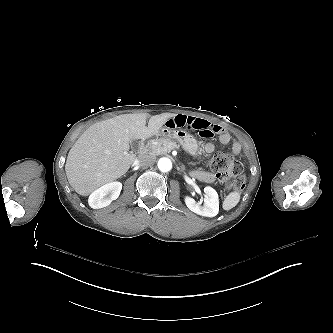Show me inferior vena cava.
Wrapping results in <instances>:
<instances>
[{"mask_svg": "<svg viewBox=\"0 0 333 333\" xmlns=\"http://www.w3.org/2000/svg\"><path fill=\"white\" fill-rule=\"evenodd\" d=\"M154 158L150 157V156H142L137 160V165H141V166H150L154 163Z\"/></svg>", "mask_w": 333, "mask_h": 333, "instance_id": "inferior-vena-cava-1", "label": "inferior vena cava"}]
</instances>
